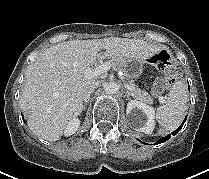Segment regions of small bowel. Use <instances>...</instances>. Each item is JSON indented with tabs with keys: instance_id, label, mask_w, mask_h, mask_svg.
<instances>
[{
	"instance_id": "obj_1",
	"label": "small bowel",
	"mask_w": 209,
	"mask_h": 179,
	"mask_svg": "<svg viewBox=\"0 0 209 179\" xmlns=\"http://www.w3.org/2000/svg\"><path fill=\"white\" fill-rule=\"evenodd\" d=\"M165 88V82L162 79H158L155 86H154V93L159 94L161 93Z\"/></svg>"
}]
</instances>
